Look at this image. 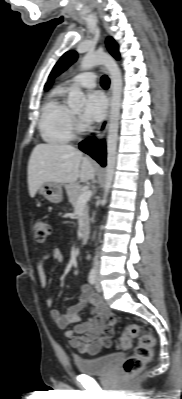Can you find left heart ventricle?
Returning a JSON list of instances; mask_svg holds the SVG:
<instances>
[{
	"label": "left heart ventricle",
	"mask_w": 182,
	"mask_h": 399,
	"mask_svg": "<svg viewBox=\"0 0 182 399\" xmlns=\"http://www.w3.org/2000/svg\"><path fill=\"white\" fill-rule=\"evenodd\" d=\"M74 113H76V114H77V113H78V111H74Z\"/></svg>",
	"instance_id": "b2bd125f"
}]
</instances>
